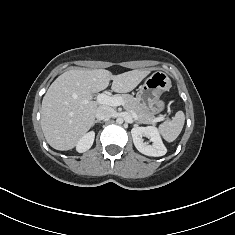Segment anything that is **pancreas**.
<instances>
[{
	"instance_id": "pancreas-1",
	"label": "pancreas",
	"mask_w": 235,
	"mask_h": 235,
	"mask_svg": "<svg viewBox=\"0 0 235 235\" xmlns=\"http://www.w3.org/2000/svg\"><path fill=\"white\" fill-rule=\"evenodd\" d=\"M122 98L123 100V107L127 111H133L137 114L138 116V123H143V124H154L156 123L154 121L155 116L153 113L148 111L142 104L138 102L136 98L129 94H122V95H117Z\"/></svg>"
}]
</instances>
